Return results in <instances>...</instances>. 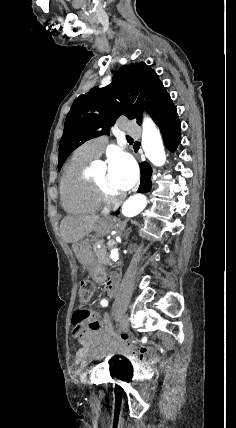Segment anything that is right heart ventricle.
<instances>
[{"instance_id": "1", "label": "right heart ventricle", "mask_w": 236, "mask_h": 428, "mask_svg": "<svg viewBox=\"0 0 236 428\" xmlns=\"http://www.w3.org/2000/svg\"><path fill=\"white\" fill-rule=\"evenodd\" d=\"M85 152V145L78 148L65 168L60 182V196L69 212L94 213L102 204L98 201L87 168L93 161Z\"/></svg>"}]
</instances>
